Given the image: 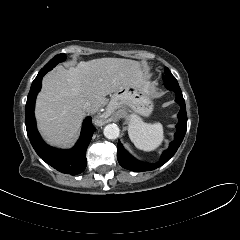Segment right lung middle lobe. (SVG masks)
I'll use <instances>...</instances> for the list:
<instances>
[{"label": "right lung middle lobe", "mask_w": 240, "mask_h": 240, "mask_svg": "<svg viewBox=\"0 0 240 240\" xmlns=\"http://www.w3.org/2000/svg\"><path fill=\"white\" fill-rule=\"evenodd\" d=\"M66 59V56L64 53L56 55L53 59H51L44 67H54L59 62H62Z\"/></svg>", "instance_id": "1"}]
</instances>
